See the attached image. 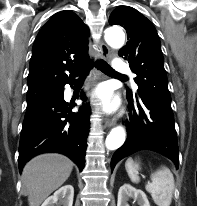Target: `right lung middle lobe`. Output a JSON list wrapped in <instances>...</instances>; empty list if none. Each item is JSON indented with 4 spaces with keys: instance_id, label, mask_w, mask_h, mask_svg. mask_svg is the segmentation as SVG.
<instances>
[{
    "instance_id": "obj_1",
    "label": "right lung middle lobe",
    "mask_w": 197,
    "mask_h": 206,
    "mask_svg": "<svg viewBox=\"0 0 197 206\" xmlns=\"http://www.w3.org/2000/svg\"><path fill=\"white\" fill-rule=\"evenodd\" d=\"M58 89H37L28 90L27 92V108L35 106L42 101L54 97L58 93Z\"/></svg>"
}]
</instances>
